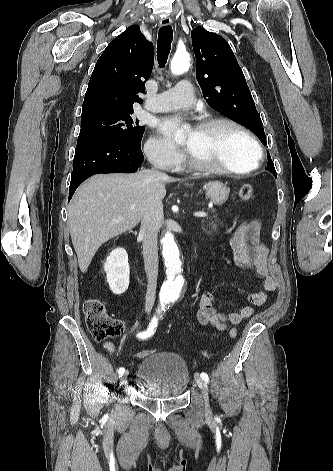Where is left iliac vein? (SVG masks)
<instances>
[{"instance_id": "4c4485c4", "label": "left iliac vein", "mask_w": 333, "mask_h": 471, "mask_svg": "<svg viewBox=\"0 0 333 471\" xmlns=\"http://www.w3.org/2000/svg\"><path fill=\"white\" fill-rule=\"evenodd\" d=\"M195 381H196V384L198 385L199 389L201 390L202 392V395H203V399H204V404H205V412L207 414H210L211 413V410H210V405H209V398H208V387H207V384L206 382L200 378L198 375L195 376Z\"/></svg>"}]
</instances>
